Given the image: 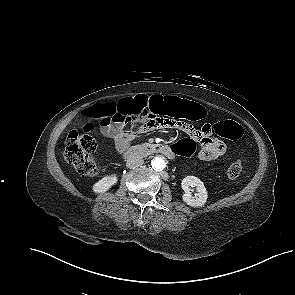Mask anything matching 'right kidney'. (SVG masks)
<instances>
[{
	"mask_svg": "<svg viewBox=\"0 0 295 295\" xmlns=\"http://www.w3.org/2000/svg\"><path fill=\"white\" fill-rule=\"evenodd\" d=\"M117 181L118 178L116 174L105 176L93 185V192L97 194L105 193L112 186H114L117 183Z\"/></svg>",
	"mask_w": 295,
	"mask_h": 295,
	"instance_id": "1",
	"label": "right kidney"
}]
</instances>
